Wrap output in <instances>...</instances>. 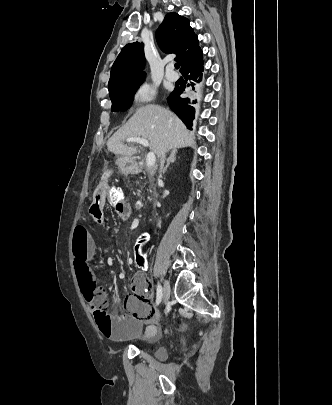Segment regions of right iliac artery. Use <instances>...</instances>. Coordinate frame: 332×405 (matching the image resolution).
Here are the masks:
<instances>
[{
  "instance_id": "82829eb1",
  "label": "right iliac artery",
  "mask_w": 332,
  "mask_h": 405,
  "mask_svg": "<svg viewBox=\"0 0 332 405\" xmlns=\"http://www.w3.org/2000/svg\"><path fill=\"white\" fill-rule=\"evenodd\" d=\"M161 300H162V287L160 284H158L156 293V305H159Z\"/></svg>"
}]
</instances>
